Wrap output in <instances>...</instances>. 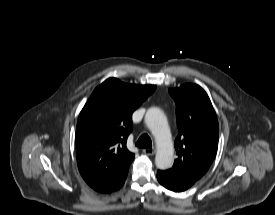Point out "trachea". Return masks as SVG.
I'll return each instance as SVG.
<instances>
[{
  "instance_id": "obj_1",
  "label": "trachea",
  "mask_w": 275,
  "mask_h": 215,
  "mask_svg": "<svg viewBox=\"0 0 275 215\" xmlns=\"http://www.w3.org/2000/svg\"><path fill=\"white\" fill-rule=\"evenodd\" d=\"M136 146L139 148H152V141L147 134H143L136 142Z\"/></svg>"
}]
</instances>
